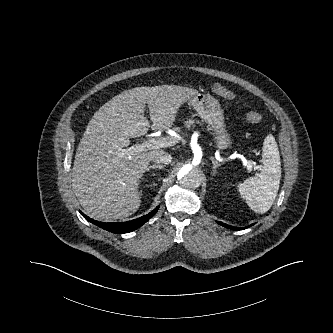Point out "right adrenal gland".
<instances>
[{"mask_svg":"<svg viewBox=\"0 0 333 333\" xmlns=\"http://www.w3.org/2000/svg\"><path fill=\"white\" fill-rule=\"evenodd\" d=\"M162 168H164V165H152V166H149L146 170L147 171H150L151 169H158V170H161Z\"/></svg>","mask_w":333,"mask_h":333,"instance_id":"right-adrenal-gland-1","label":"right adrenal gland"}]
</instances>
